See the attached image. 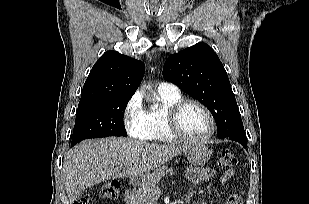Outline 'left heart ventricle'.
Segmentation results:
<instances>
[{
  "label": "left heart ventricle",
  "mask_w": 309,
  "mask_h": 204,
  "mask_svg": "<svg viewBox=\"0 0 309 204\" xmlns=\"http://www.w3.org/2000/svg\"><path fill=\"white\" fill-rule=\"evenodd\" d=\"M179 125L188 135L202 137L210 128L209 120L201 108L190 104L183 108L179 116Z\"/></svg>",
  "instance_id": "1"
}]
</instances>
